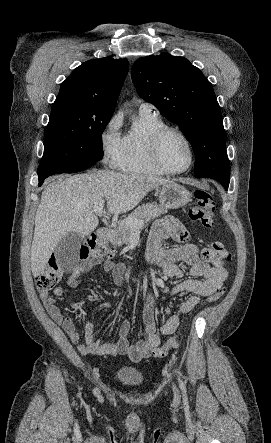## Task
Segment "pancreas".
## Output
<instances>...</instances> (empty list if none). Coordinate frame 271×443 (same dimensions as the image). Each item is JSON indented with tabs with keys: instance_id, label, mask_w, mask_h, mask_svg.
Returning <instances> with one entry per match:
<instances>
[{
	"instance_id": "pancreas-1",
	"label": "pancreas",
	"mask_w": 271,
	"mask_h": 443,
	"mask_svg": "<svg viewBox=\"0 0 271 443\" xmlns=\"http://www.w3.org/2000/svg\"><path fill=\"white\" fill-rule=\"evenodd\" d=\"M166 208H160L156 204H146V206H139L132 214H129L128 218H135V220H143V222H150L154 218H158L161 214H166ZM126 222V220H123ZM144 225V223H143ZM143 225H126V223H120L116 235H109L108 239L115 245H122V243H128L131 233L141 229Z\"/></svg>"
}]
</instances>
